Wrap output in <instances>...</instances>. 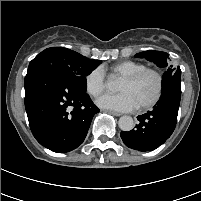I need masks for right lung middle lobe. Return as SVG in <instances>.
<instances>
[{
  "instance_id": "1",
  "label": "right lung middle lobe",
  "mask_w": 201,
  "mask_h": 201,
  "mask_svg": "<svg viewBox=\"0 0 201 201\" xmlns=\"http://www.w3.org/2000/svg\"><path fill=\"white\" fill-rule=\"evenodd\" d=\"M102 61L91 60L81 54L63 47L47 48L29 64L28 71L45 67L55 71L73 82L80 91L86 92V76Z\"/></svg>"
}]
</instances>
